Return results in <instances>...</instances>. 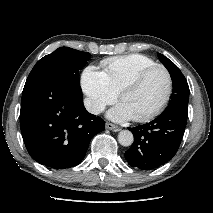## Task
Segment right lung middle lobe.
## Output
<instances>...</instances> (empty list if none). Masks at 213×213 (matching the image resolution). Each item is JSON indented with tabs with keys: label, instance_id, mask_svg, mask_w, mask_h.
<instances>
[{
	"label": "right lung middle lobe",
	"instance_id": "right-lung-middle-lobe-1",
	"mask_svg": "<svg viewBox=\"0 0 213 213\" xmlns=\"http://www.w3.org/2000/svg\"><path fill=\"white\" fill-rule=\"evenodd\" d=\"M89 60V53L69 47H60L51 54L41 58L33 67L27 80L41 76L55 78L81 95L79 70Z\"/></svg>",
	"mask_w": 213,
	"mask_h": 213
}]
</instances>
